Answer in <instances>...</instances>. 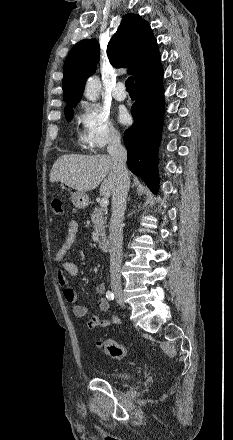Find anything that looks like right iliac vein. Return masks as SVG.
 <instances>
[{
    "mask_svg": "<svg viewBox=\"0 0 233 440\" xmlns=\"http://www.w3.org/2000/svg\"><path fill=\"white\" fill-rule=\"evenodd\" d=\"M112 291L115 294L118 303L123 305L124 304V299H123V292H122L121 286L117 285V284L112 285Z\"/></svg>",
    "mask_w": 233,
    "mask_h": 440,
    "instance_id": "63e3f726",
    "label": "right iliac vein"
}]
</instances>
